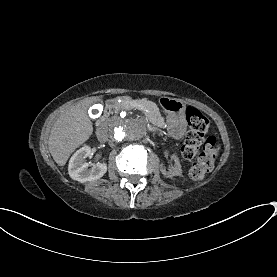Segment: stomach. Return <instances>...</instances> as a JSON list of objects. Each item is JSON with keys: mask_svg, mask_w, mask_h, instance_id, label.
Listing matches in <instances>:
<instances>
[{"mask_svg": "<svg viewBox=\"0 0 277 277\" xmlns=\"http://www.w3.org/2000/svg\"><path fill=\"white\" fill-rule=\"evenodd\" d=\"M161 107L166 113L167 123L171 131H182L186 125L185 104L176 98L162 97L159 101Z\"/></svg>", "mask_w": 277, "mask_h": 277, "instance_id": "stomach-1", "label": "stomach"}]
</instances>
